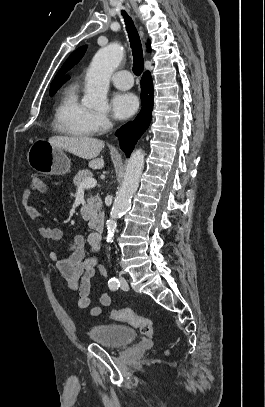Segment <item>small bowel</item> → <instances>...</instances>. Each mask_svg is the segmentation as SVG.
<instances>
[{"label":"small bowel","mask_w":265,"mask_h":407,"mask_svg":"<svg viewBox=\"0 0 265 407\" xmlns=\"http://www.w3.org/2000/svg\"><path fill=\"white\" fill-rule=\"evenodd\" d=\"M31 194V190L26 189L22 194L21 202L26 214L30 218L39 221L42 219L40 212L29 203ZM39 233L43 238L53 242L62 238V231L57 227L41 226ZM88 245L92 253L90 257L85 255V237L75 235L69 240L65 254L56 251L50 253V258L56 262L60 274L65 279L67 289L78 293L77 306L80 309H87L90 306L91 280L96 276L107 277L108 275L104 267L98 266L95 256L99 250V238L94 235L89 236ZM99 302V306L90 309V314L93 317L99 316L103 308L111 305L109 294L106 292L101 293Z\"/></svg>","instance_id":"c3829d8e"}]
</instances>
